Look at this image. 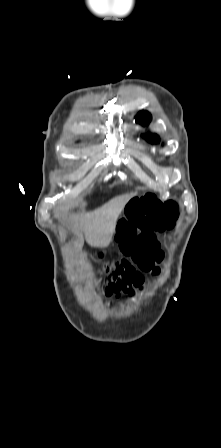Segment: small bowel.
<instances>
[{"label":"small bowel","instance_id":"1","mask_svg":"<svg viewBox=\"0 0 221 448\" xmlns=\"http://www.w3.org/2000/svg\"><path fill=\"white\" fill-rule=\"evenodd\" d=\"M140 217L141 218H144V219H146L147 217H146V214H145V212L144 211H142V210H140ZM132 227L133 228H135V224H132ZM117 241L119 242V244H120V247H121V250H122V252H123V254H125L126 256H131V251H130V249H129V245H131V244H133L134 242H135V236L134 235H132L129 239H127L126 241H123V240H119V239H117ZM119 293V290L118 289H111V291H110V295H113V294H118Z\"/></svg>","mask_w":221,"mask_h":448}]
</instances>
